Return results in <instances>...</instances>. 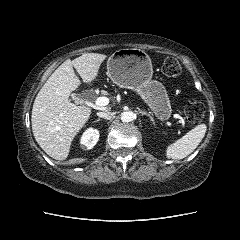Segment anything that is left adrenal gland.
<instances>
[{
	"instance_id": "1",
	"label": "left adrenal gland",
	"mask_w": 240,
	"mask_h": 240,
	"mask_svg": "<svg viewBox=\"0 0 240 240\" xmlns=\"http://www.w3.org/2000/svg\"><path fill=\"white\" fill-rule=\"evenodd\" d=\"M139 112L142 115H146L150 119V121L154 124V119H153V117L150 114H148L146 111H142V110H139Z\"/></svg>"
}]
</instances>
